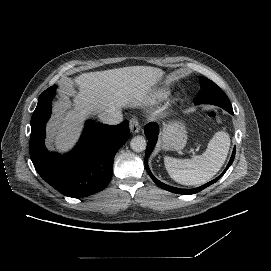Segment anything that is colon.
<instances>
[{
  "instance_id": "1",
  "label": "colon",
  "mask_w": 271,
  "mask_h": 271,
  "mask_svg": "<svg viewBox=\"0 0 271 271\" xmlns=\"http://www.w3.org/2000/svg\"><path fill=\"white\" fill-rule=\"evenodd\" d=\"M209 116H210V117H215V116H216V113H215V112H210V113H209Z\"/></svg>"
}]
</instances>
